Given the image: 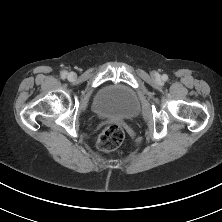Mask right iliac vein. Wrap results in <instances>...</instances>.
Here are the masks:
<instances>
[{
  "mask_svg": "<svg viewBox=\"0 0 222 222\" xmlns=\"http://www.w3.org/2000/svg\"><path fill=\"white\" fill-rule=\"evenodd\" d=\"M75 76H76L75 73L71 72V73H69L68 78H69L70 80H72V79L75 78Z\"/></svg>",
  "mask_w": 222,
  "mask_h": 222,
  "instance_id": "1",
  "label": "right iliac vein"
}]
</instances>
